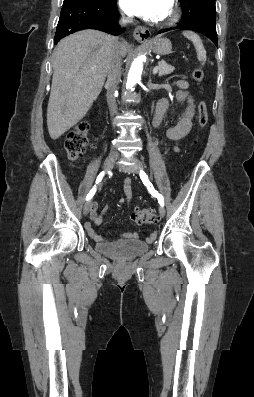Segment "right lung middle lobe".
Masks as SVG:
<instances>
[{
  "instance_id": "obj_1",
  "label": "right lung middle lobe",
  "mask_w": 254,
  "mask_h": 397,
  "mask_svg": "<svg viewBox=\"0 0 254 397\" xmlns=\"http://www.w3.org/2000/svg\"><path fill=\"white\" fill-rule=\"evenodd\" d=\"M98 4H111L114 3L116 0H88Z\"/></svg>"
}]
</instances>
